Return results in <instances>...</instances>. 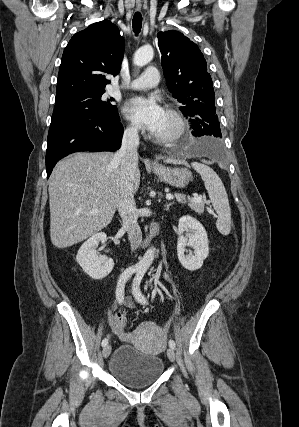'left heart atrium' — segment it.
Here are the masks:
<instances>
[{
	"label": "left heart atrium",
	"instance_id": "left-heart-atrium-1",
	"mask_svg": "<svg viewBox=\"0 0 299 427\" xmlns=\"http://www.w3.org/2000/svg\"><path fill=\"white\" fill-rule=\"evenodd\" d=\"M123 112L137 127L156 132L165 111L155 97H133L128 100Z\"/></svg>",
	"mask_w": 299,
	"mask_h": 427
}]
</instances>
